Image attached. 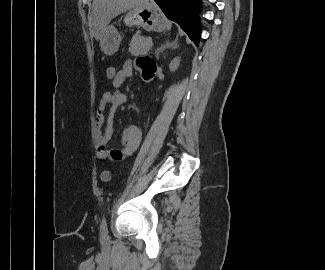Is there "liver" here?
<instances>
[{
	"mask_svg": "<svg viewBox=\"0 0 325 270\" xmlns=\"http://www.w3.org/2000/svg\"><path fill=\"white\" fill-rule=\"evenodd\" d=\"M145 3L148 0H93L91 25L95 39L101 41L105 28L114 17Z\"/></svg>",
	"mask_w": 325,
	"mask_h": 270,
	"instance_id": "1",
	"label": "liver"
}]
</instances>
